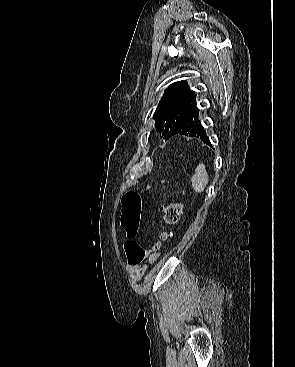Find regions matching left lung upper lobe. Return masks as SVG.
Segmentation results:
<instances>
[{
    "mask_svg": "<svg viewBox=\"0 0 295 367\" xmlns=\"http://www.w3.org/2000/svg\"><path fill=\"white\" fill-rule=\"evenodd\" d=\"M196 105V93L189 89L187 82L171 84L166 90L153 115L155 127L164 139L172 136L175 128Z\"/></svg>",
    "mask_w": 295,
    "mask_h": 367,
    "instance_id": "5c2ea615",
    "label": "left lung upper lobe"
}]
</instances>
